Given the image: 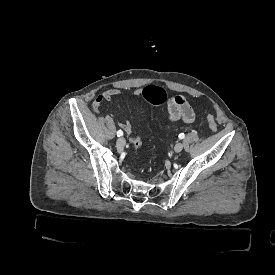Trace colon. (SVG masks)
<instances>
[{"instance_id": "1", "label": "colon", "mask_w": 275, "mask_h": 275, "mask_svg": "<svg viewBox=\"0 0 275 275\" xmlns=\"http://www.w3.org/2000/svg\"><path fill=\"white\" fill-rule=\"evenodd\" d=\"M141 96L146 98L149 102H153L154 104H161L166 99V93L153 84H148L141 91ZM206 123L211 131L214 132L217 130V121L213 115L208 114L206 116ZM131 141H134L133 146L135 149H138L141 143V136H131Z\"/></svg>"}]
</instances>
